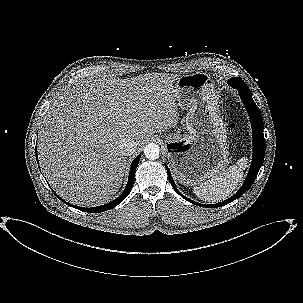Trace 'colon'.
<instances>
[{
    "mask_svg": "<svg viewBox=\"0 0 303 303\" xmlns=\"http://www.w3.org/2000/svg\"><path fill=\"white\" fill-rule=\"evenodd\" d=\"M233 127V124H230V128H232Z\"/></svg>",
    "mask_w": 303,
    "mask_h": 303,
    "instance_id": "1",
    "label": "colon"
}]
</instances>
